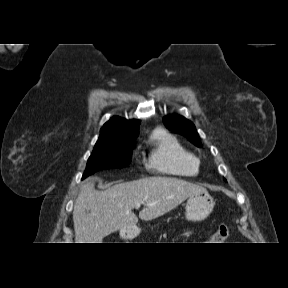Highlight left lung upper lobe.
Returning a JSON list of instances; mask_svg holds the SVG:
<instances>
[{
	"instance_id": "5c2ea615",
	"label": "left lung upper lobe",
	"mask_w": 288,
	"mask_h": 288,
	"mask_svg": "<svg viewBox=\"0 0 288 288\" xmlns=\"http://www.w3.org/2000/svg\"><path fill=\"white\" fill-rule=\"evenodd\" d=\"M164 124L168 129L179 132L189 138L195 145L200 146L199 136L194 124L183 116H170L164 118Z\"/></svg>"
}]
</instances>
